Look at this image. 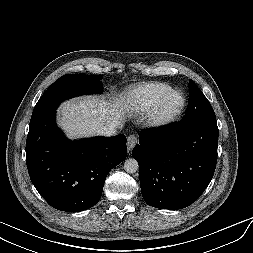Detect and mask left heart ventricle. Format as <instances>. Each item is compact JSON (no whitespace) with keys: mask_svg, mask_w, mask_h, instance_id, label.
I'll return each mask as SVG.
<instances>
[{"mask_svg":"<svg viewBox=\"0 0 253 253\" xmlns=\"http://www.w3.org/2000/svg\"><path fill=\"white\" fill-rule=\"evenodd\" d=\"M181 104V97L179 94L171 95L163 104V113H171L175 111Z\"/></svg>","mask_w":253,"mask_h":253,"instance_id":"left-heart-ventricle-1","label":"left heart ventricle"}]
</instances>
